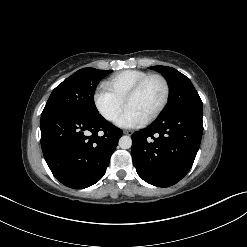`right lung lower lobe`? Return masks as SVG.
<instances>
[{"label":"right lung lower lobe","mask_w":247,"mask_h":247,"mask_svg":"<svg viewBox=\"0 0 247 247\" xmlns=\"http://www.w3.org/2000/svg\"><path fill=\"white\" fill-rule=\"evenodd\" d=\"M41 147L57 180L87 188L106 172L122 130L100 114L87 116L57 110L41 115Z\"/></svg>","instance_id":"1"}]
</instances>
